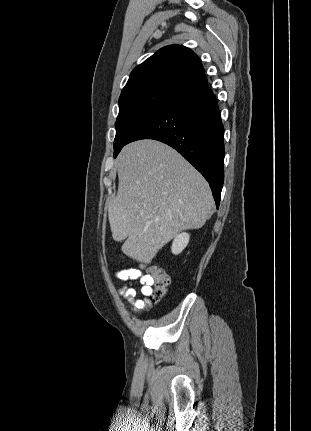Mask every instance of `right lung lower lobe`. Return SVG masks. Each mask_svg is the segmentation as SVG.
Listing matches in <instances>:
<instances>
[{
	"mask_svg": "<svg viewBox=\"0 0 311 431\" xmlns=\"http://www.w3.org/2000/svg\"><path fill=\"white\" fill-rule=\"evenodd\" d=\"M223 135L216 97L206 86L162 108L132 133L127 144L154 139L176 149L209 182L218 208L224 181Z\"/></svg>",
	"mask_w": 311,
	"mask_h": 431,
	"instance_id": "1",
	"label": "right lung lower lobe"
}]
</instances>
